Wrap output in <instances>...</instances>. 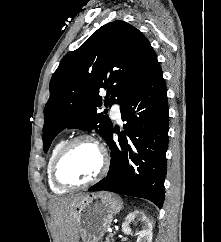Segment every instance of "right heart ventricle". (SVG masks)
<instances>
[{"label":"right heart ventricle","instance_id":"e07e8e85","mask_svg":"<svg viewBox=\"0 0 221 242\" xmlns=\"http://www.w3.org/2000/svg\"><path fill=\"white\" fill-rule=\"evenodd\" d=\"M65 142H66L65 139H59L58 141H56L50 150L48 160H47L46 173H47L48 186L52 192L57 193V194L65 193L67 189L59 187L53 181L51 169H52L53 162H54L59 150L62 148V146L65 144Z\"/></svg>","mask_w":221,"mask_h":242}]
</instances>
